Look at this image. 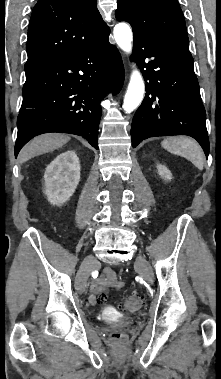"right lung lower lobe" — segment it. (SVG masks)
<instances>
[{
    "label": "right lung lower lobe",
    "instance_id": "right-lung-lower-lobe-1",
    "mask_svg": "<svg viewBox=\"0 0 221 379\" xmlns=\"http://www.w3.org/2000/svg\"><path fill=\"white\" fill-rule=\"evenodd\" d=\"M109 34L110 29L78 49L25 68L15 157L31 138L48 132L82 136L98 149L100 102L124 82L122 59Z\"/></svg>",
    "mask_w": 221,
    "mask_h": 379
}]
</instances>
